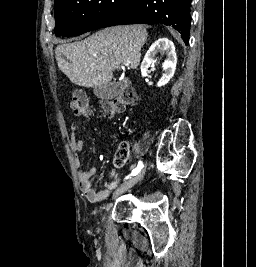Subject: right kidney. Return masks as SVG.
<instances>
[{
  "label": "right kidney",
  "mask_w": 256,
  "mask_h": 267,
  "mask_svg": "<svg viewBox=\"0 0 256 267\" xmlns=\"http://www.w3.org/2000/svg\"><path fill=\"white\" fill-rule=\"evenodd\" d=\"M157 52L166 54V60H164L162 66L164 74H162V78L157 84L160 88V86L168 84L171 78H173L176 70L177 58L173 42L168 40V38H159V40H156L145 54V58L140 68L142 78H146V76H148V68H150L151 64H153L155 54H157Z\"/></svg>",
  "instance_id": "1"
}]
</instances>
